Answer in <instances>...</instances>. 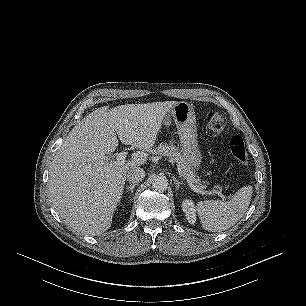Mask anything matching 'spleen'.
<instances>
[{
	"mask_svg": "<svg viewBox=\"0 0 306 306\" xmlns=\"http://www.w3.org/2000/svg\"><path fill=\"white\" fill-rule=\"evenodd\" d=\"M252 186L240 188L228 201H200L196 211L205 230L221 232L232 227L248 210Z\"/></svg>",
	"mask_w": 306,
	"mask_h": 306,
	"instance_id": "spleen-1",
	"label": "spleen"
}]
</instances>
